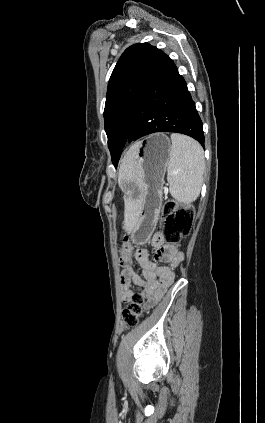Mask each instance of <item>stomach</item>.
I'll use <instances>...</instances> for the list:
<instances>
[{"label":"stomach","instance_id":"stomach-1","mask_svg":"<svg viewBox=\"0 0 265 423\" xmlns=\"http://www.w3.org/2000/svg\"><path fill=\"white\" fill-rule=\"evenodd\" d=\"M136 162L141 170L140 213L132 229L135 244L146 243L159 220L162 207L164 175L172 152L170 139L163 133L149 135L137 143Z\"/></svg>","mask_w":265,"mask_h":423}]
</instances>
